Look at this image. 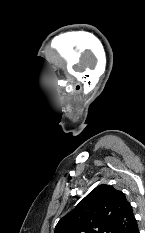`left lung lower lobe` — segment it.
<instances>
[{"label": "left lung lower lobe", "instance_id": "obj_1", "mask_svg": "<svg viewBox=\"0 0 145 233\" xmlns=\"http://www.w3.org/2000/svg\"><path fill=\"white\" fill-rule=\"evenodd\" d=\"M130 233H139V229H138L137 223L134 225V227L132 228V230L130 231Z\"/></svg>", "mask_w": 145, "mask_h": 233}]
</instances>
